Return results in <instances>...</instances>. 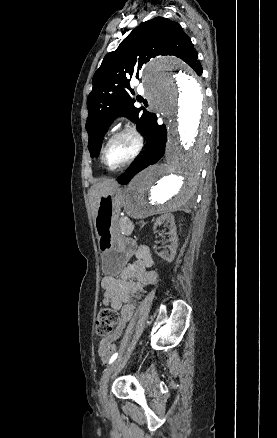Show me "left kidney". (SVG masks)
<instances>
[{
    "label": "left kidney",
    "mask_w": 277,
    "mask_h": 438,
    "mask_svg": "<svg viewBox=\"0 0 277 438\" xmlns=\"http://www.w3.org/2000/svg\"><path fill=\"white\" fill-rule=\"evenodd\" d=\"M161 222H169L170 224V232H168V234L170 236L171 244L169 246L170 254H164V256H162V254H159V256H161L163 260H166V262H172V260H174L176 256V248L178 246V236L176 232L177 228L173 214H162V216H159L154 224L153 230H156L157 226H159Z\"/></svg>",
    "instance_id": "5707ae66"
}]
</instances>
